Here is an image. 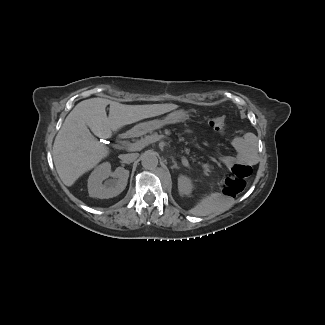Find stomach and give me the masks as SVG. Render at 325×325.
Returning a JSON list of instances; mask_svg holds the SVG:
<instances>
[{
  "instance_id": "1",
  "label": "stomach",
  "mask_w": 325,
  "mask_h": 325,
  "mask_svg": "<svg viewBox=\"0 0 325 325\" xmlns=\"http://www.w3.org/2000/svg\"><path fill=\"white\" fill-rule=\"evenodd\" d=\"M187 115L185 112H182L181 110L174 111L170 114H168L164 120H153L147 123H142L134 128H132L130 131H128V135L130 136H141L148 132H151L153 129L161 128L163 125L166 124H175L181 121H184L186 119Z\"/></svg>"
}]
</instances>
